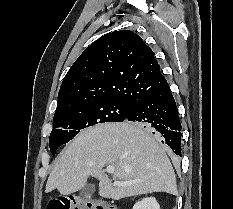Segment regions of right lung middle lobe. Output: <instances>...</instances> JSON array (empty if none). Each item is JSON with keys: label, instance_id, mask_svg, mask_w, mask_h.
<instances>
[{"label": "right lung middle lobe", "instance_id": "right-lung-middle-lobe-1", "mask_svg": "<svg viewBox=\"0 0 233 209\" xmlns=\"http://www.w3.org/2000/svg\"><path fill=\"white\" fill-rule=\"evenodd\" d=\"M135 103L118 98H107L79 106L67 113L55 115L54 129L50 134V151L56 150L73 139L81 129L104 123L124 121ZM142 128H150L142 123H136Z\"/></svg>", "mask_w": 233, "mask_h": 209}]
</instances>
